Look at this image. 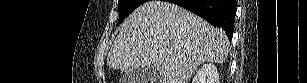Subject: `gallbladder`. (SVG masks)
<instances>
[{"mask_svg":"<svg viewBox=\"0 0 307 83\" xmlns=\"http://www.w3.org/2000/svg\"><path fill=\"white\" fill-rule=\"evenodd\" d=\"M160 79V73L152 66L135 69L122 78L125 83H158Z\"/></svg>","mask_w":307,"mask_h":83,"instance_id":"gallbladder-1","label":"gallbladder"}]
</instances>
